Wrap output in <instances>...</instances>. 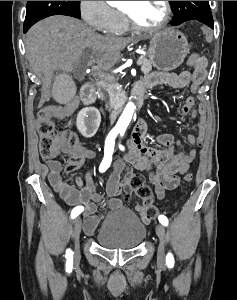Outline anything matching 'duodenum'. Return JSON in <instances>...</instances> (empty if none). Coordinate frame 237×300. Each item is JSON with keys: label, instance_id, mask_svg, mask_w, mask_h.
Returning a JSON list of instances; mask_svg holds the SVG:
<instances>
[{"label": "duodenum", "instance_id": "410a0bca", "mask_svg": "<svg viewBox=\"0 0 237 300\" xmlns=\"http://www.w3.org/2000/svg\"><path fill=\"white\" fill-rule=\"evenodd\" d=\"M80 95L85 105L87 106L95 105L96 103L95 88L91 82H86L83 84ZM135 100H136V105L138 107L142 106L144 102L143 90L140 89L135 90Z\"/></svg>", "mask_w": 237, "mask_h": 300}]
</instances>
